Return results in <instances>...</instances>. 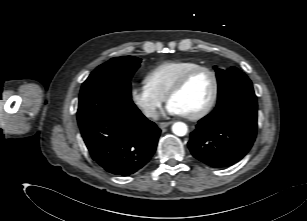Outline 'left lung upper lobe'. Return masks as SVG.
<instances>
[{
    "label": "left lung upper lobe",
    "mask_w": 307,
    "mask_h": 221,
    "mask_svg": "<svg viewBox=\"0 0 307 221\" xmlns=\"http://www.w3.org/2000/svg\"><path fill=\"white\" fill-rule=\"evenodd\" d=\"M216 75L218 80L217 106L238 96L255 95L249 78L235 67L230 70L216 69Z\"/></svg>",
    "instance_id": "1"
}]
</instances>
